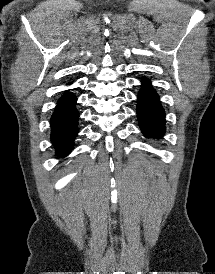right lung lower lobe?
<instances>
[{"label": "right lung lower lobe", "instance_id": "right-lung-lower-lobe-1", "mask_svg": "<svg viewBox=\"0 0 215 274\" xmlns=\"http://www.w3.org/2000/svg\"><path fill=\"white\" fill-rule=\"evenodd\" d=\"M76 100L71 93L62 96L50 120L51 141L59 156H66L71 151L73 141L79 131Z\"/></svg>", "mask_w": 215, "mask_h": 274}]
</instances>
